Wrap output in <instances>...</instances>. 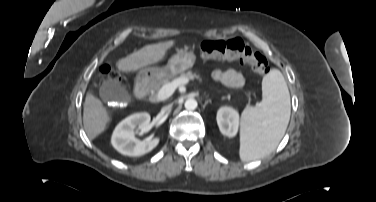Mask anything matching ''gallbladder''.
Segmentation results:
<instances>
[{
	"label": "gallbladder",
	"mask_w": 376,
	"mask_h": 202,
	"mask_svg": "<svg viewBox=\"0 0 376 202\" xmlns=\"http://www.w3.org/2000/svg\"><path fill=\"white\" fill-rule=\"evenodd\" d=\"M100 97L104 102L127 101L128 93L118 82L108 80L100 87Z\"/></svg>",
	"instance_id": "bac80fb5"
}]
</instances>
